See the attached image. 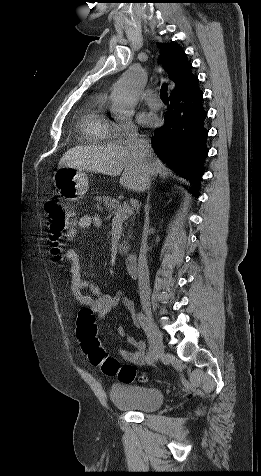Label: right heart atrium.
<instances>
[{"label": "right heart atrium", "mask_w": 261, "mask_h": 476, "mask_svg": "<svg viewBox=\"0 0 261 476\" xmlns=\"http://www.w3.org/2000/svg\"><path fill=\"white\" fill-rule=\"evenodd\" d=\"M137 135V127L133 121L128 118L122 121H118L112 125L111 137L121 140L127 137H133Z\"/></svg>", "instance_id": "1"}]
</instances>
